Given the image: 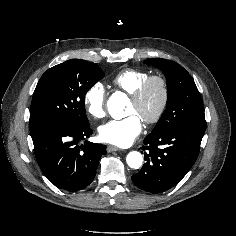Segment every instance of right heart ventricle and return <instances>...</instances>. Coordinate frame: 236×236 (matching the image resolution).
<instances>
[{"label": "right heart ventricle", "mask_w": 236, "mask_h": 236, "mask_svg": "<svg viewBox=\"0 0 236 236\" xmlns=\"http://www.w3.org/2000/svg\"><path fill=\"white\" fill-rule=\"evenodd\" d=\"M149 76L150 72L147 70L128 68L120 71L112 79V84L131 95Z\"/></svg>", "instance_id": "1"}]
</instances>
